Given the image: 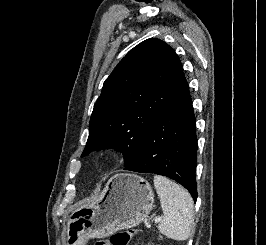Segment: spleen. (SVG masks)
<instances>
[{"label": "spleen", "instance_id": "obj_1", "mask_svg": "<svg viewBox=\"0 0 266 245\" xmlns=\"http://www.w3.org/2000/svg\"><path fill=\"white\" fill-rule=\"evenodd\" d=\"M154 187L160 197L164 217L158 225L162 235L174 241H186L193 223V199L188 191L166 177L156 175Z\"/></svg>", "mask_w": 266, "mask_h": 245}]
</instances>
